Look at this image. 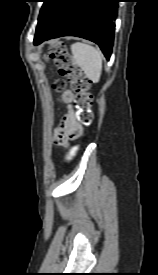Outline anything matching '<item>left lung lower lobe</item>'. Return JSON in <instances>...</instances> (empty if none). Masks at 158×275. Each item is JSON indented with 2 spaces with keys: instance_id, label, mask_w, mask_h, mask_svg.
Returning <instances> with one entry per match:
<instances>
[{
  "instance_id": "left-lung-lower-lobe-1",
  "label": "left lung lower lobe",
  "mask_w": 158,
  "mask_h": 275,
  "mask_svg": "<svg viewBox=\"0 0 158 275\" xmlns=\"http://www.w3.org/2000/svg\"><path fill=\"white\" fill-rule=\"evenodd\" d=\"M117 2L119 0H49L36 28L34 45L60 36H78L97 43L109 59Z\"/></svg>"
}]
</instances>
